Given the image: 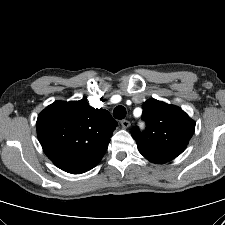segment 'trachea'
I'll return each mask as SVG.
<instances>
[{
  "mask_svg": "<svg viewBox=\"0 0 225 225\" xmlns=\"http://www.w3.org/2000/svg\"><path fill=\"white\" fill-rule=\"evenodd\" d=\"M113 116L116 119H124L126 117V109L124 106L119 105L113 111Z\"/></svg>",
  "mask_w": 225,
  "mask_h": 225,
  "instance_id": "3493384b",
  "label": "trachea"
}]
</instances>
